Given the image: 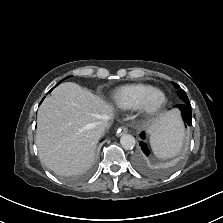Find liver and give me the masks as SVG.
Wrapping results in <instances>:
<instances>
[{"mask_svg": "<svg viewBox=\"0 0 223 223\" xmlns=\"http://www.w3.org/2000/svg\"><path fill=\"white\" fill-rule=\"evenodd\" d=\"M113 110L112 105L78 84L61 83L38 109L36 144L41 162L62 176L86 171L101 137L96 123L107 120L110 124ZM176 117L175 112L162 113L148 131L160 133Z\"/></svg>", "mask_w": 223, "mask_h": 223, "instance_id": "obj_1", "label": "liver"}]
</instances>
